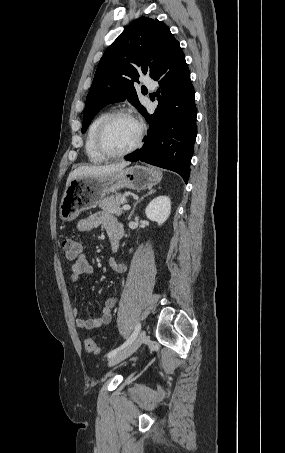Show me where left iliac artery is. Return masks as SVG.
Segmentation results:
<instances>
[{"mask_svg":"<svg viewBox=\"0 0 285 453\" xmlns=\"http://www.w3.org/2000/svg\"><path fill=\"white\" fill-rule=\"evenodd\" d=\"M140 329H141V324L138 323L132 333V335L118 348L110 351L108 354H107V357L108 358H111L113 356H115L118 352H120L121 350H123L124 348H126L129 344H131L135 339L136 337L138 336L139 332H140Z\"/></svg>","mask_w":285,"mask_h":453,"instance_id":"left-iliac-artery-1","label":"left iliac artery"}]
</instances>
